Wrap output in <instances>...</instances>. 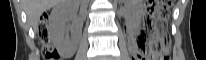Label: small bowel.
<instances>
[{
    "label": "small bowel",
    "mask_w": 206,
    "mask_h": 60,
    "mask_svg": "<svg viewBox=\"0 0 206 60\" xmlns=\"http://www.w3.org/2000/svg\"><path fill=\"white\" fill-rule=\"evenodd\" d=\"M137 52V47L135 45L132 46V54L133 56L135 55V53Z\"/></svg>",
    "instance_id": "obj_1"
}]
</instances>
